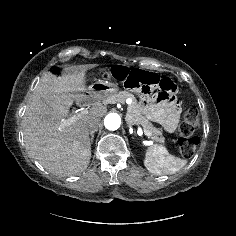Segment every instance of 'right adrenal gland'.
<instances>
[{"label":"right adrenal gland","instance_id":"right-adrenal-gland-1","mask_svg":"<svg viewBox=\"0 0 236 236\" xmlns=\"http://www.w3.org/2000/svg\"><path fill=\"white\" fill-rule=\"evenodd\" d=\"M97 130H92V131H90V142H91V144L93 143V140H94V133L96 132Z\"/></svg>","mask_w":236,"mask_h":236}]
</instances>
